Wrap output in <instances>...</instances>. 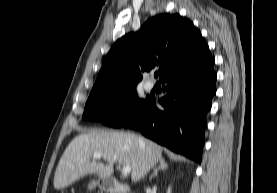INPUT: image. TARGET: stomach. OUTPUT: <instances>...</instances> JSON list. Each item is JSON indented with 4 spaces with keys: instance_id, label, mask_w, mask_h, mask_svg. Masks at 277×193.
<instances>
[{
    "instance_id": "stomach-1",
    "label": "stomach",
    "mask_w": 277,
    "mask_h": 193,
    "mask_svg": "<svg viewBox=\"0 0 277 193\" xmlns=\"http://www.w3.org/2000/svg\"><path fill=\"white\" fill-rule=\"evenodd\" d=\"M99 187L102 190H109L110 188V180L109 178H99L97 181H92L88 185L90 190L94 189L95 187Z\"/></svg>"
}]
</instances>
